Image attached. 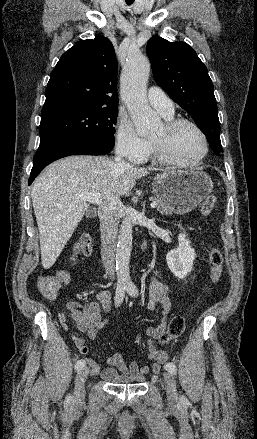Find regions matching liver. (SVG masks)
<instances>
[{
  "label": "liver",
  "mask_w": 257,
  "mask_h": 439,
  "mask_svg": "<svg viewBox=\"0 0 257 439\" xmlns=\"http://www.w3.org/2000/svg\"><path fill=\"white\" fill-rule=\"evenodd\" d=\"M149 173L141 168L122 167L103 156H70L49 165L31 190L43 268L53 266L89 207L76 194H100L103 205L113 195L128 194L136 180Z\"/></svg>",
  "instance_id": "liver-1"
}]
</instances>
